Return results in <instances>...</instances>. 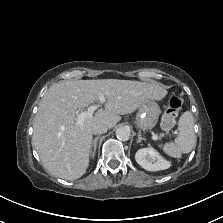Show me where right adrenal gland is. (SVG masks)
I'll list each match as a JSON object with an SVG mask.
<instances>
[{
	"instance_id": "2a0ac1e0",
	"label": "right adrenal gland",
	"mask_w": 223,
	"mask_h": 223,
	"mask_svg": "<svg viewBox=\"0 0 223 223\" xmlns=\"http://www.w3.org/2000/svg\"><path fill=\"white\" fill-rule=\"evenodd\" d=\"M98 138L99 137H95L94 140L92 141V144H91V156H92V158H94L95 153H96V147H97Z\"/></svg>"
}]
</instances>
